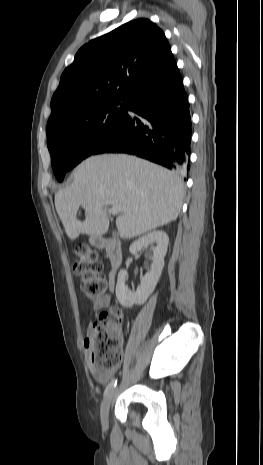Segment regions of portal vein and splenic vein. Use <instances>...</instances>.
<instances>
[{"label": "portal vein and splenic vein", "instance_id": "obj_1", "mask_svg": "<svg viewBox=\"0 0 263 465\" xmlns=\"http://www.w3.org/2000/svg\"><path fill=\"white\" fill-rule=\"evenodd\" d=\"M123 210H124V208L121 205H114L111 208H109L107 211H108V213H110L112 215H117L120 212H122Z\"/></svg>", "mask_w": 263, "mask_h": 465}]
</instances>
